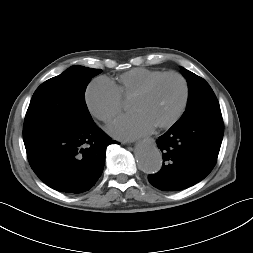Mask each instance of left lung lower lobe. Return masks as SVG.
Segmentation results:
<instances>
[{"instance_id":"obj_1","label":"left lung lower lobe","mask_w":253,"mask_h":253,"mask_svg":"<svg viewBox=\"0 0 253 253\" xmlns=\"http://www.w3.org/2000/svg\"><path fill=\"white\" fill-rule=\"evenodd\" d=\"M223 133V121L174 124L156 141L163 166L148 176L149 182L163 191H177L200 182L216 164Z\"/></svg>"}]
</instances>
